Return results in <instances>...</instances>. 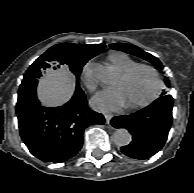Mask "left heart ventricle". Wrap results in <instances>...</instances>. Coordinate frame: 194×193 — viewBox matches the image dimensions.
<instances>
[{
	"mask_svg": "<svg viewBox=\"0 0 194 193\" xmlns=\"http://www.w3.org/2000/svg\"><path fill=\"white\" fill-rule=\"evenodd\" d=\"M154 86V78L150 71L140 69L128 79L121 76L115 84V88L122 91L125 104L131 105L146 99Z\"/></svg>",
	"mask_w": 194,
	"mask_h": 193,
	"instance_id": "1",
	"label": "left heart ventricle"
}]
</instances>
